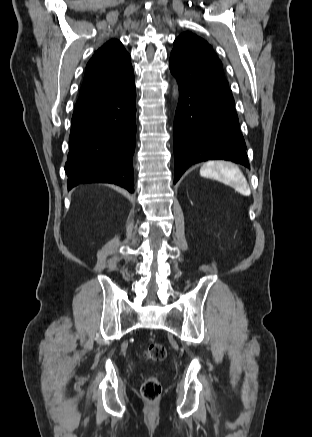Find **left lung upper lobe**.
Returning a JSON list of instances; mask_svg holds the SVG:
<instances>
[{"label":"left lung upper lobe","mask_w":312,"mask_h":437,"mask_svg":"<svg viewBox=\"0 0 312 437\" xmlns=\"http://www.w3.org/2000/svg\"><path fill=\"white\" fill-rule=\"evenodd\" d=\"M196 68L198 71L228 86L222 63L212 47L202 38L186 32L174 41L172 53Z\"/></svg>","instance_id":"obj_1"}]
</instances>
